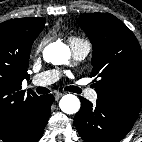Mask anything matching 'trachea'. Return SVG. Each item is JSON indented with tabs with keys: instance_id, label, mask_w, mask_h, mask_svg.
<instances>
[{
	"instance_id": "trachea-1",
	"label": "trachea",
	"mask_w": 142,
	"mask_h": 142,
	"mask_svg": "<svg viewBox=\"0 0 142 142\" xmlns=\"http://www.w3.org/2000/svg\"><path fill=\"white\" fill-rule=\"evenodd\" d=\"M36 91H37L38 94H47V93L50 92V90L45 88V87H39V88L36 89ZM67 91H71V92H74V93H81L82 90L80 88L76 87V86H69L67 88Z\"/></svg>"
}]
</instances>
